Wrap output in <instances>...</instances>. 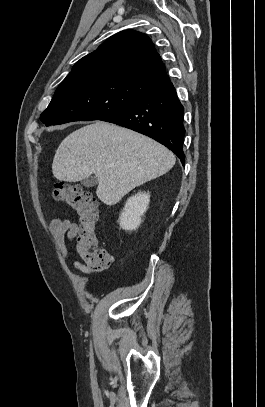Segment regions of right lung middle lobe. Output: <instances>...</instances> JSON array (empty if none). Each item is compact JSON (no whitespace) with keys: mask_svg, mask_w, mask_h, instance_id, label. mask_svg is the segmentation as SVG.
I'll list each match as a JSON object with an SVG mask.
<instances>
[{"mask_svg":"<svg viewBox=\"0 0 265 407\" xmlns=\"http://www.w3.org/2000/svg\"><path fill=\"white\" fill-rule=\"evenodd\" d=\"M154 87L102 74L64 79L40 120L47 126L90 121L123 111L144 99Z\"/></svg>","mask_w":265,"mask_h":407,"instance_id":"dd1d6c3e","label":"right lung middle lobe"}]
</instances>
